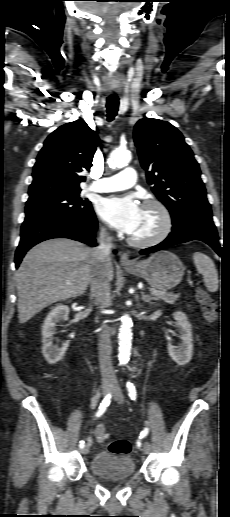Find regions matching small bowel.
Masks as SVG:
<instances>
[{
  "instance_id": "1",
  "label": "small bowel",
  "mask_w": 230,
  "mask_h": 517,
  "mask_svg": "<svg viewBox=\"0 0 230 517\" xmlns=\"http://www.w3.org/2000/svg\"><path fill=\"white\" fill-rule=\"evenodd\" d=\"M100 429H104L103 426L99 425L91 429V434L97 438V434ZM105 430V429H104Z\"/></svg>"
}]
</instances>
